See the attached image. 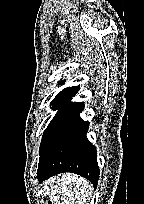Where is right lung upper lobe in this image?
<instances>
[{
    "instance_id": "cb5924a9",
    "label": "right lung upper lobe",
    "mask_w": 144,
    "mask_h": 204,
    "mask_svg": "<svg viewBox=\"0 0 144 204\" xmlns=\"http://www.w3.org/2000/svg\"><path fill=\"white\" fill-rule=\"evenodd\" d=\"M61 84H63V81L59 82ZM79 90V87H68L63 89L56 97L55 99L58 98H71L73 97Z\"/></svg>"
}]
</instances>
